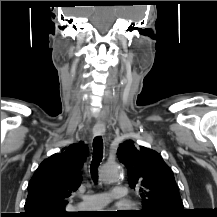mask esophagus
Returning a JSON list of instances; mask_svg holds the SVG:
<instances>
[{
	"label": "esophagus",
	"instance_id": "34e87169",
	"mask_svg": "<svg viewBox=\"0 0 217 217\" xmlns=\"http://www.w3.org/2000/svg\"><path fill=\"white\" fill-rule=\"evenodd\" d=\"M105 134V126L103 124H96L93 127V135L94 136H101Z\"/></svg>",
	"mask_w": 217,
	"mask_h": 217
}]
</instances>
